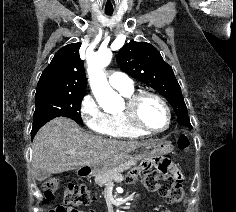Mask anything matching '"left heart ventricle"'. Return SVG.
Returning a JSON list of instances; mask_svg holds the SVG:
<instances>
[{"instance_id":"left-heart-ventricle-1","label":"left heart ventricle","mask_w":236,"mask_h":212,"mask_svg":"<svg viewBox=\"0 0 236 212\" xmlns=\"http://www.w3.org/2000/svg\"><path fill=\"white\" fill-rule=\"evenodd\" d=\"M143 123L152 129H161L168 122V115L163 105L153 98L144 100L141 107Z\"/></svg>"}]
</instances>
